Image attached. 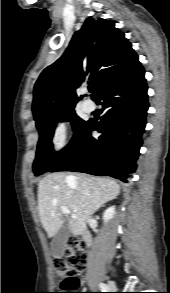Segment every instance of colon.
<instances>
[{
	"instance_id": "1",
	"label": "colon",
	"mask_w": 170,
	"mask_h": 293,
	"mask_svg": "<svg viewBox=\"0 0 170 293\" xmlns=\"http://www.w3.org/2000/svg\"><path fill=\"white\" fill-rule=\"evenodd\" d=\"M85 263L86 255L81 248L80 241L76 238H70L66 257L52 259L55 274L61 279L60 290L65 291L55 293H72L70 291L77 289L80 283L76 274L83 269Z\"/></svg>"
}]
</instances>
